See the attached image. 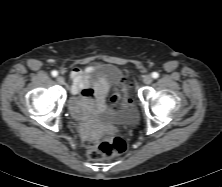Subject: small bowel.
Returning a JSON list of instances; mask_svg holds the SVG:
<instances>
[{
	"mask_svg": "<svg viewBox=\"0 0 222 187\" xmlns=\"http://www.w3.org/2000/svg\"><path fill=\"white\" fill-rule=\"evenodd\" d=\"M91 71L90 67L85 70L75 68L71 71V92L79 97L84 106L102 108L109 97V87L101 83H92L88 77Z\"/></svg>",
	"mask_w": 222,
	"mask_h": 187,
	"instance_id": "c3829d8e",
	"label": "small bowel"
}]
</instances>
